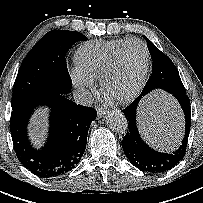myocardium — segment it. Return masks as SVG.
<instances>
[{"instance_id": "f54148a6", "label": "myocardium", "mask_w": 203, "mask_h": 203, "mask_svg": "<svg viewBox=\"0 0 203 203\" xmlns=\"http://www.w3.org/2000/svg\"><path fill=\"white\" fill-rule=\"evenodd\" d=\"M131 43H139L143 47L144 53H145L144 67H143L142 73H141L140 77L138 78V81L136 82L133 89L124 96L114 97L110 93V82L119 65L123 51ZM149 66H150V52H149V48L146 45V43L139 38L128 39L115 52L113 58L111 59L110 63L108 64V66L106 67V69L102 75V78L100 81H101V87H102L104 94L106 96H108L110 99H112L114 102L120 103V104H125V103H129V102L133 101L139 95L142 88L144 87V84H145L146 78H147V74L149 71Z\"/></svg>"}]
</instances>
